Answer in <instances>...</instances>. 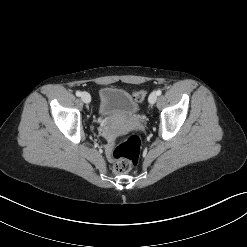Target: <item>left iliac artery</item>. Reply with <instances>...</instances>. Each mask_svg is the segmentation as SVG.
Wrapping results in <instances>:
<instances>
[{"label": "left iliac artery", "instance_id": "left-iliac-artery-1", "mask_svg": "<svg viewBox=\"0 0 247 247\" xmlns=\"http://www.w3.org/2000/svg\"><path fill=\"white\" fill-rule=\"evenodd\" d=\"M156 94L159 96V95L162 94V91H161L160 89H158V90L156 91Z\"/></svg>", "mask_w": 247, "mask_h": 247}]
</instances>
